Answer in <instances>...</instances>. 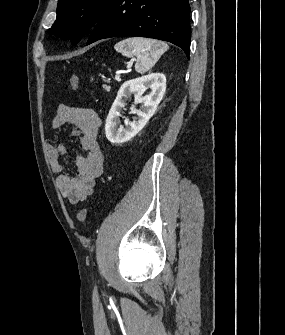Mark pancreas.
Listing matches in <instances>:
<instances>
[{
	"mask_svg": "<svg viewBox=\"0 0 285 335\" xmlns=\"http://www.w3.org/2000/svg\"><path fill=\"white\" fill-rule=\"evenodd\" d=\"M102 88H104V90H107V92H109V90H110V86H105V84H104V86H102Z\"/></svg>",
	"mask_w": 285,
	"mask_h": 335,
	"instance_id": "obj_1",
	"label": "pancreas"
}]
</instances>
